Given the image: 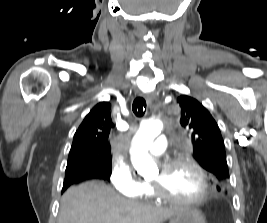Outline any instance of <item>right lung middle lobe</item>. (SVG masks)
I'll list each match as a JSON object with an SVG mask.
<instances>
[{"label": "right lung middle lobe", "instance_id": "dd1d6c3e", "mask_svg": "<svg viewBox=\"0 0 267 223\" xmlns=\"http://www.w3.org/2000/svg\"><path fill=\"white\" fill-rule=\"evenodd\" d=\"M96 166H97V163L91 160H80L76 162H71L67 164L65 174L71 173L77 170L94 171ZM105 168L106 170L104 172L102 171H98V172L101 173V175L104 177V180H109V177L111 175V159L106 161Z\"/></svg>", "mask_w": 267, "mask_h": 223}]
</instances>
